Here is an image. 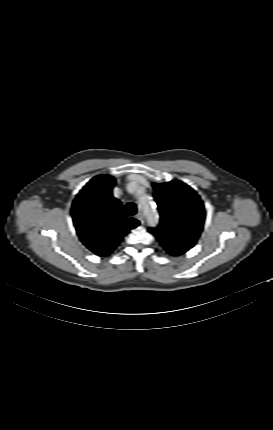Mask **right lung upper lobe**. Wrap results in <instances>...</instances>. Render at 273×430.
Here are the masks:
<instances>
[{
  "label": "right lung upper lobe",
  "mask_w": 273,
  "mask_h": 430,
  "mask_svg": "<svg viewBox=\"0 0 273 430\" xmlns=\"http://www.w3.org/2000/svg\"><path fill=\"white\" fill-rule=\"evenodd\" d=\"M115 179L109 175L92 178L76 195L71 215L82 243L99 256H107L122 238L139 225L123 215L121 202L111 190Z\"/></svg>",
  "instance_id": "cb5924a9"
}]
</instances>
